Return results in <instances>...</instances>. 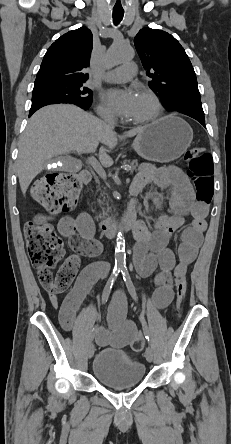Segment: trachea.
<instances>
[{"label":"trachea","mask_w":231,"mask_h":444,"mask_svg":"<svg viewBox=\"0 0 231 444\" xmlns=\"http://www.w3.org/2000/svg\"><path fill=\"white\" fill-rule=\"evenodd\" d=\"M124 11L123 10H113V23L114 25H118L123 19Z\"/></svg>","instance_id":"obj_1"}]
</instances>
